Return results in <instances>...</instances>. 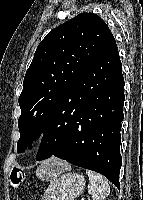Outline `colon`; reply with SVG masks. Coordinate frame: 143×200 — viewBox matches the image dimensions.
I'll return each instance as SVG.
<instances>
[{
    "mask_svg": "<svg viewBox=\"0 0 143 200\" xmlns=\"http://www.w3.org/2000/svg\"><path fill=\"white\" fill-rule=\"evenodd\" d=\"M24 179H25V173L22 170H20L18 168H14L11 171L10 181H11V186L14 189L19 188V186L22 184V182L24 181Z\"/></svg>",
    "mask_w": 143,
    "mask_h": 200,
    "instance_id": "5ec220e1",
    "label": "colon"
}]
</instances>
